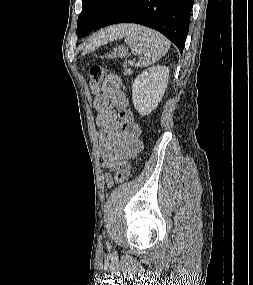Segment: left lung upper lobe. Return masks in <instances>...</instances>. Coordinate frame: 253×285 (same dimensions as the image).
Segmentation results:
<instances>
[{
    "label": "left lung upper lobe",
    "mask_w": 253,
    "mask_h": 285,
    "mask_svg": "<svg viewBox=\"0 0 253 285\" xmlns=\"http://www.w3.org/2000/svg\"><path fill=\"white\" fill-rule=\"evenodd\" d=\"M113 0H82L83 9L78 17L76 33L84 37L93 31L106 15Z\"/></svg>",
    "instance_id": "5c2ea615"
}]
</instances>
